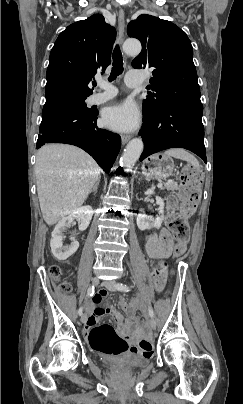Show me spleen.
<instances>
[{
    "mask_svg": "<svg viewBox=\"0 0 243 404\" xmlns=\"http://www.w3.org/2000/svg\"><path fill=\"white\" fill-rule=\"evenodd\" d=\"M166 156H172V158H178V160H185V162H189V164H192L194 168H199V164L194 158V156H191L189 152H185L183 148H172V150H167L165 152Z\"/></svg>",
    "mask_w": 243,
    "mask_h": 404,
    "instance_id": "spleen-1",
    "label": "spleen"
}]
</instances>
